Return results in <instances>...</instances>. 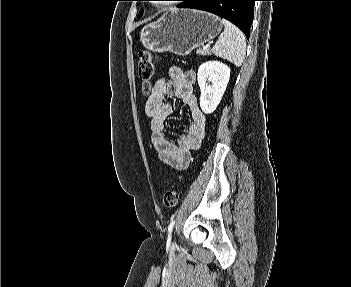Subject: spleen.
<instances>
[{
	"mask_svg": "<svg viewBox=\"0 0 351 287\" xmlns=\"http://www.w3.org/2000/svg\"><path fill=\"white\" fill-rule=\"evenodd\" d=\"M224 31L216 41L213 53L233 63L236 67L242 65L246 52V41L243 32L231 22L222 19Z\"/></svg>",
	"mask_w": 351,
	"mask_h": 287,
	"instance_id": "obj_1",
	"label": "spleen"
}]
</instances>
